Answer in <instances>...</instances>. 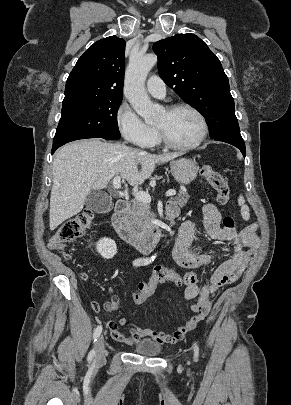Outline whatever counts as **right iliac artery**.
Returning <instances> with one entry per match:
<instances>
[{
    "mask_svg": "<svg viewBox=\"0 0 291 405\" xmlns=\"http://www.w3.org/2000/svg\"><path fill=\"white\" fill-rule=\"evenodd\" d=\"M148 263H149V261L146 259H137L133 262V265L134 266H143ZM101 332H102V326L99 325V326H97V328L95 329L94 334H93L94 342L97 341V338L100 336ZM94 355H95V350H91L88 355V360H91L94 357Z\"/></svg>",
    "mask_w": 291,
    "mask_h": 405,
    "instance_id": "82829eb1",
    "label": "right iliac artery"
}]
</instances>
